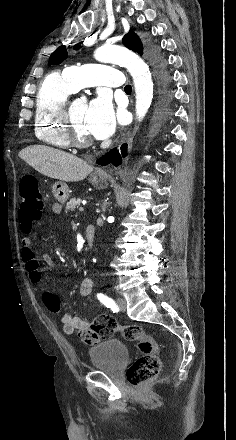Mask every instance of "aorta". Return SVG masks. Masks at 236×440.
I'll return each instance as SVG.
<instances>
[{
  "instance_id": "obj_1",
  "label": "aorta",
  "mask_w": 236,
  "mask_h": 440,
  "mask_svg": "<svg viewBox=\"0 0 236 440\" xmlns=\"http://www.w3.org/2000/svg\"><path fill=\"white\" fill-rule=\"evenodd\" d=\"M94 57L103 63H113L127 68L134 82L136 93V116L142 120L153 98V82L148 65L134 52L119 45H103Z\"/></svg>"
}]
</instances>
